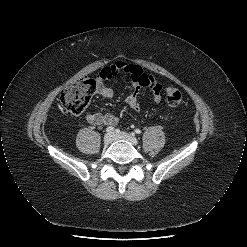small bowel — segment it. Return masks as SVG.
Returning <instances> with one entry per match:
<instances>
[{
	"label": "small bowel",
	"instance_id": "small-bowel-1",
	"mask_svg": "<svg viewBox=\"0 0 247 247\" xmlns=\"http://www.w3.org/2000/svg\"><path fill=\"white\" fill-rule=\"evenodd\" d=\"M122 74L129 76L131 79L132 91L125 100L130 109L134 111L140 110L139 95L144 88H147L151 92L155 102L161 101L162 85L160 82L144 73L140 66L122 61L102 68L96 80V93L103 98H111L113 91L105 86L104 81ZM86 120L94 126L115 125L119 122L120 116L111 113L96 112L88 114Z\"/></svg>",
	"mask_w": 247,
	"mask_h": 247
}]
</instances>
